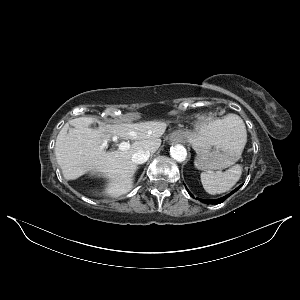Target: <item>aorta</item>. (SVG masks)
Wrapping results in <instances>:
<instances>
[{
  "label": "aorta",
  "mask_w": 300,
  "mask_h": 300,
  "mask_svg": "<svg viewBox=\"0 0 300 300\" xmlns=\"http://www.w3.org/2000/svg\"><path fill=\"white\" fill-rule=\"evenodd\" d=\"M170 155L177 162H183L187 157V150L183 145L176 144L170 148Z\"/></svg>",
  "instance_id": "aorta-1"
}]
</instances>
